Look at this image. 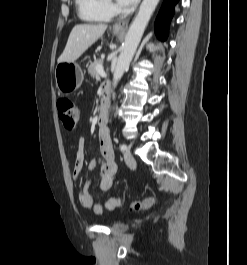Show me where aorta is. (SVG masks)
Instances as JSON below:
<instances>
[{
	"mask_svg": "<svg viewBox=\"0 0 247 265\" xmlns=\"http://www.w3.org/2000/svg\"><path fill=\"white\" fill-rule=\"evenodd\" d=\"M159 0H143L138 14L130 25L125 37L122 52L117 61L115 71L113 73V86L116 87L118 81L128 69L133 59L137 46L139 45L145 28L158 5Z\"/></svg>",
	"mask_w": 247,
	"mask_h": 265,
	"instance_id": "aorta-1",
	"label": "aorta"
}]
</instances>
